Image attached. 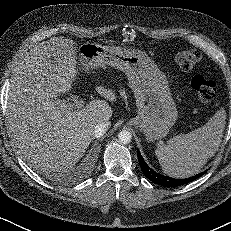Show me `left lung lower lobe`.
<instances>
[{"label":"left lung lower lobe","mask_w":231,"mask_h":231,"mask_svg":"<svg viewBox=\"0 0 231 231\" xmlns=\"http://www.w3.org/2000/svg\"><path fill=\"white\" fill-rule=\"evenodd\" d=\"M137 156H138V161L139 164L141 166V170L143 172V174L153 183H156L158 185L161 186H165V187H178L181 185H184L186 183L192 182L195 179L199 178L200 176H202L204 173H200L197 174L195 176H192L188 179H174L168 176H164L160 173L155 172L154 170H152L144 161L142 155L140 154V152H137Z\"/></svg>","instance_id":"1"}]
</instances>
